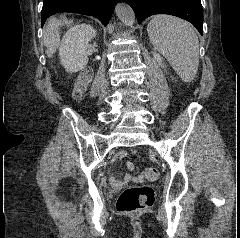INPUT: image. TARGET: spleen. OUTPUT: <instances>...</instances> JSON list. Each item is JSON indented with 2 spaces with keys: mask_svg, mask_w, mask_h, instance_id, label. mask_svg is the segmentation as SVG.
<instances>
[{
  "mask_svg": "<svg viewBox=\"0 0 240 238\" xmlns=\"http://www.w3.org/2000/svg\"><path fill=\"white\" fill-rule=\"evenodd\" d=\"M147 32L154 48L166 57L180 78L192 81L199 66V40L190 24L177 17L156 15Z\"/></svg>",
  "mask_w": 240,
  "mask_h": 238,
  "instance_id": "obj_1",
  "label": "spleen"
}]
</instances>
